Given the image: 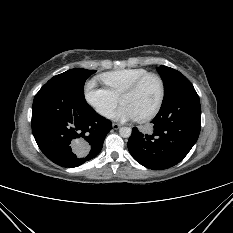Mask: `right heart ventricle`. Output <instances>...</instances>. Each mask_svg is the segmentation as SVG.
<instances>
[{"label": "right heart ventricle", "instance_id": "e07e8e85", "mask_svg": "<svg viewBox=\"0 0 233 233\" xmlns=\"http://www.w3.org/2000/svg\"><path fill=\"white\" fill-rule=\"evenodd\" d=\"M147 73L149 71L144 68H126L103 73L99 78L114 95L119 97L129 85Z\"/></svg>", "mask_w": 233, "mask_h": 233}]
</instances>
